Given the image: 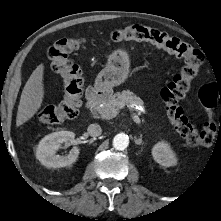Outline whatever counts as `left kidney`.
Returning <instances> with one entry per match:
<instances>
[{
  "label": "left kidney",
  "mask_w": 221,
  "mask_h": 221,
  "mask_svg": "<svg viewBox=\"0 0 221 221\" xmlns=\"http://www.w3.org/2000/svg\"><path fill=\"white\" fill-rule=\"evenodd\" d=\"M154 160L164 167H170L177 164V158L170 145L165 141H160L152 148Z\"/></svg>",
  "instance_id": "obj_1"
}]
</instances>
